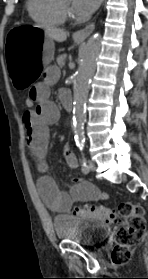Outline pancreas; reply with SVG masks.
<instances>
[{"label": "pancreas", "mask_w": 148, "mask_h": 279, "mask_svg": "<svg viewBox=\"0 0 148 279\" xmlns=\"http://www.w3.org/2000/svg\"><path fill=\"white\" fill-rule=\"evenodd\" d=\"M66 58V55L63 54V55H60L58 58H57V63L60 67H62L64 65V60Z\"/></svg>", "instance_id": "obj_1"}]
</instances>
